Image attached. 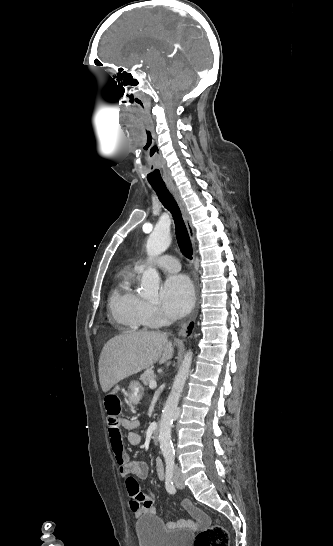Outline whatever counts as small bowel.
Segmentation results:
<instances>
[{
    "instance_id": "small-bowel-1",
    "label": "small bowel",
    "mask_w": 333,
    "mask_h": 546,
    "mask_svg": "<svg viewBox=\"0 0 333 546\" xmlns=\"http://www.w3.org/2000/svg\"><path fill=\"white\" fill-rule=\"evenodd\" d=\"M120 387L112 386V393L120 392ZM139 421L127 419L119 416V418H108L107 426L110 439V445L118 464L120 474L126 478V487L129 495V507L136 516L142 513H155V498L153 495H145L140 491L137 478H145L148 475V465L143 461H130L129 456L124 451L120 428L123 427L128 431V441L131 445H139L142 441L141 435L137 432ZM156 470L159 478L163 477V466L160 460L156 462ZM185 506L189 513L196 520L197 524L202 525L206 522L205 514L189 501L185 502ZM185 522L180 520L177 522H169V525H184Z\"/></svg>"
}]
</instances>
